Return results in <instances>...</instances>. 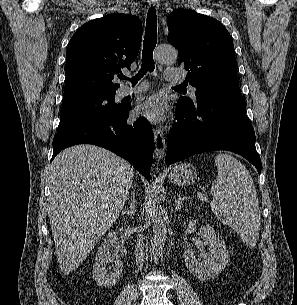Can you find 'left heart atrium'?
I'll list each match as a JSON object with an SVG mask.
<instances>
[{
    "mask_svg": "<svg viewBox=\"0 0 297 305\" xmlns=\"http://www.w3.org/2000/svg\"><path fill=\"white\" fill-rule=\"evenodd\" d=\"M137 114L152 123H158L164 118L165 103L160 96L150 97L138 106Z\"/></svg>",
    "mask_w": 297,
    "mask_h": 305,
    "instance_id": "obj_1",
    "label": "left heart atrium"
}]
</instances>
